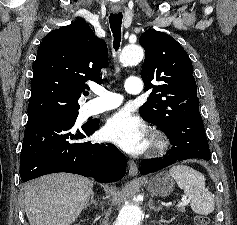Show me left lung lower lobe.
<instances>
[{
	"instance_id": "1",
	"label": "left lung lower lobe",
	"mask_w": 237,
	"mask_h": 225,
	"mask_svg": "<svg viewBox=\"0 0 237 225\" xmlns=\"http://www.w3.org/2000/svg\"><path fill=\"white\" fill-rule=\"evenodd\" d=\"M165 133L173 147L164 158L144 160L139 168L141 174L155 172L190 158L210 160L208 141L199 110L185 116Z\"/></svg>"
}]
</instances>
